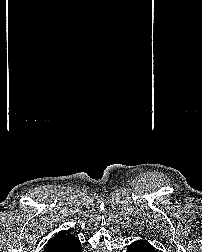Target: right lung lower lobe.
<instances>
[{
	"instance_id": "1",
	"label": "right lung lower lobe",
	"mask_w": 202,
	"mask_h": 252,
	"mask_svg": "<svg viewBox=\"0 0 202 252\" xmlns=\"http://www.w3.org/2000/svg\"><path fill=\"white\" fill-rule=\"evenodd\" d=\"M72 252H82V248H81V243L79 242L74 249L72 250Z\"/></svg>"
}]
</instances>
